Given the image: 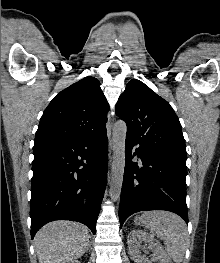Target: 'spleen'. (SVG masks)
<instances>
[{"label": "spleen", "instance_id": "obj_1", "mask_svg": "<svg viewBox=\"0 0 220 263\" xmlns=\"http://www.w3.org/2000/svg\"><path fill=\"white\" fill-rule=\"evenodd\" d=\"M140 220L164 241L168 257L175 263H181L188 244L185 222L178 215L166 211L144 212Z\"/></svg>", "mask_w": 220, "mask_h": 263}]
</instances>
